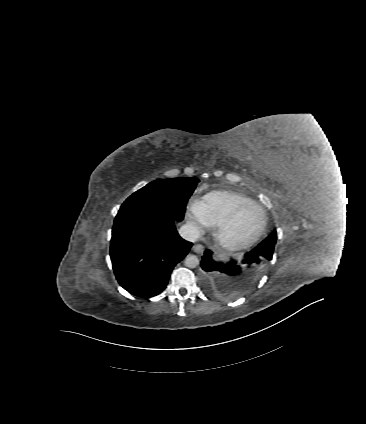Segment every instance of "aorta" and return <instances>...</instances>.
<instances>
[{
  "mask_svg": "<svg viewBox=\"0 0 366 424\" xmlns=\"http://www.w3.org/2000/svg\"><path fill=\"white\" fill-rule=\"evenodd\" d=\"M185 265L188 268H196L199 265V259L194 254H189L185 258Z\"/></svg>",
  "mask_w": 366,
  "mask_h": 424,
  "instance_id": "aorta-1",
  "label": "aorta"
}]
</instances>
